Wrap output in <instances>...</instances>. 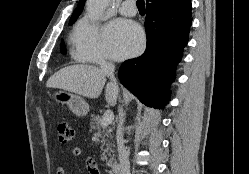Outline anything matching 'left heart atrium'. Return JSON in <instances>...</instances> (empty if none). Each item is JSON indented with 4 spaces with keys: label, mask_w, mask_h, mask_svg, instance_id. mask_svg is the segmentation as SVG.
I'll list each match as a JSON object with an SVG mask.
<instances>
[{
    "label": "left heart atrium",
    "mask_w": 249,
    "mask_h": 174,
    "mask_svg": "<svg viewBox=\"0 0 249 174\" xmlns=\"http://www.w3.org/2000/svg\"><path fill=\"white\" fill-rule=\"evenodd\" d=\"M105 48L115 60L139 53L144 44V35L138 24L126 19L112 21L105 30Z\"/></svg>",
    "instance_id": "left-heart-atrium-1"
}]
</instances>
